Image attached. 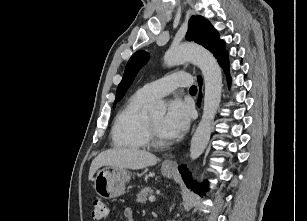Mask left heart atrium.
Masks as SVG:
<instances>
[{
  "mask_svg": "<svg viewBox=\"0 0 307 221\" xmlns=\"http://www.w3.org/2000/svg\"><path fill=\"white\" fill-rule=\"evenodd\" d=\"M191 117L190 106L181 99L170 102L163 121V132L167 138H177L188 128Z\"/></svg>",
  "mask_w": 307,
  "mask_h": 221,
  "instance_id": "obj_1",
  "label": "left heart atrium"
}]
</instances>
